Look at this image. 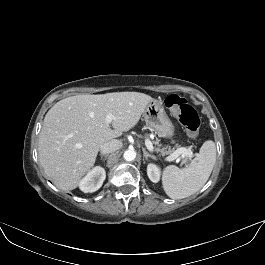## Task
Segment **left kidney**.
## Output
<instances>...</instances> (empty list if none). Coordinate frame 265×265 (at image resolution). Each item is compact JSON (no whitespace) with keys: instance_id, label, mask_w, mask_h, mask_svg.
<instances>
[{"instance_id":"1","label":"left kidney","mask_w":265,"mask_h":265,"mask_svg":"<svg viewBox=\"0 0 265 265\" xmlns=\"http://www.w3.org/2000/svg\"><path fill=\"white\" fill-rule=\"evenodd\" d=\"M147 175L152 182L157 183L160 180V169H159V167L155 164H152V163L148 164Z\"/></svg>"}]
</instances>
